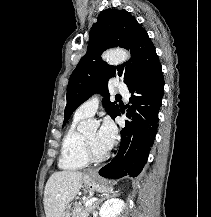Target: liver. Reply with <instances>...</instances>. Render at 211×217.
Masks as SVG:
<instances>
[{
	"label": "liver",
	"instance_id": "liver-1",
	"mask_svg": "<svg viewBox=\"0 0 211 217\" xmlns=\"http://www.w3.org/2000/svg\"><path fill=\"white\" fill-rule=\"evenodd\" d=\"M82 172L59 171L48 179L44 191L46 217H61L82 186Z\"/></svg>",
	"mask_w": 211,
	"mask_h": 217
}]
</instances>
